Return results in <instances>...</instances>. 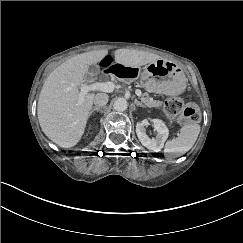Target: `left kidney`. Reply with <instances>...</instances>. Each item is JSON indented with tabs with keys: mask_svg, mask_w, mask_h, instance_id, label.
<instances>
[{
	"mask_svg": "<svg viewBox=\"0 0 243 243\" xmlns=\"http://www.w3.org/2000/svg\"><path fill=\"white\" fill-rule=\"evenodd\" d=\"M153 124L154 130L157 132L155 138L150 139L146 134V126ZM136 133L140 142L149 150L159 152L164 146L165 140L168 138V128L157 119H143L136 125Z\"/></svg>",
	"mask_w": 243,
	"mask_h": 243,
	"instance_id": "obj_1",
	"label": "left kidney"
}]
</instances>
